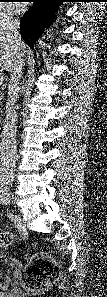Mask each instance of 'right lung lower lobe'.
<instances>
[{
	"label": "right lung lower lobe",
	"mask_w": 107,
	"mask_h": 297,
	"mask_svg": "<svg viewBox=\"0 0 107 297\" xmlns=\"http://www.w3.org/2000/svg\"><path fill=\"white\" fill-rule=\"evenodd\" d=\"M63 0H34L32 8L21 18L20 34L32 48L41 32L51 21L52 14Z\"/></svg>",
	"instance_id": "98d812e1"
}]
</instances>
